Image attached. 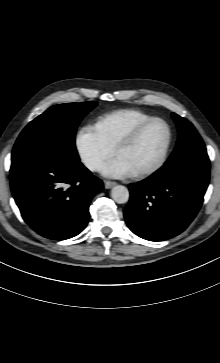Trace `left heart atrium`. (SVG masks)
<instances>
[{
  "mask_svg": "<svg viewBox=\"0 0 220 363\" xmlns=\"http://www.w3.org/2000/svg\"><path fill=\"white\" fill-rule=\"evenodd\" d=\"M101 172L104 176L111 178H124L134 174L133 169L119 156L104 164Z\"/></svg>",
  "mask_w": 220,
  "mask_h": 363,
  "instance_id": "left-heart-atrium-1",
  "label": "left heart atrium"
}]
</instances>
